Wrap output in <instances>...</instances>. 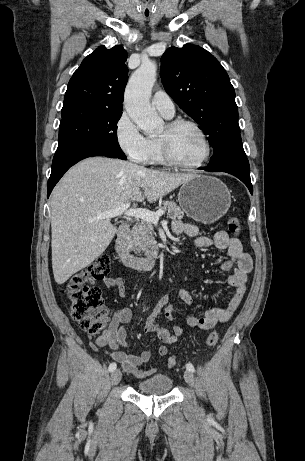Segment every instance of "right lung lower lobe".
<instances>
[{"mask_svg": "<svg viewBox=\"0 0 305 461\" xmlns=\"http://www.w3.org/2000/svg\"><path fill=\"white\" fill-rule=\"evenodd\" d=\"M92 156L119 158L118 155L103 147L82 146L66 151L56 152L52 162V171L47 185V197L64 173L82 159ZM121 159V158H119Z\"/></svg>", "mask_w": 305, "mask_h": 461, "instance_id": "right-lung-lower-lobe-1", "label": "right lung lower lobe"}]
</instances>
